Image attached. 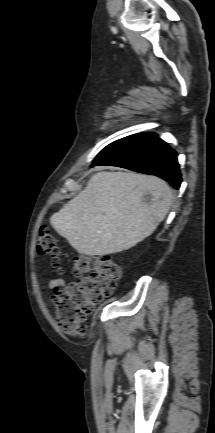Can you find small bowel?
Instances as JSON below:
<instances>
[{
  "label": "small bowel",
  "instance_id": "1",
  "mask_svg": "<svg viewBox=\"0 0 215 433\" xmlns=\"http://www.w3.org/2000/svg\"><path fill=\"white\" fill-rule=\"evenodd\" d=\"M64 285V281L62 280V279H59V278H57V279H52L50 282H49V286H50V288H52V289H55V288H57V287H59V286H63Z\"/></svg>",
  "mask_w": 215,
  "mask_h": 433
}]
</instances>
